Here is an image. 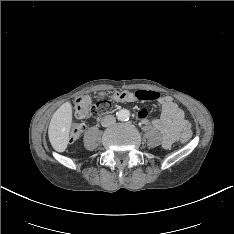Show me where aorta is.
<instances>
[{
    "mask_svg": "<svg viewBox=\"0 0 234 234\" xmlns=\"http://www.w3.org/2000/svg\"><path fill=\"white\" fill-rule=\"evenodd\" d=\"M130 117V112L127 109H121L117 112V118L121 121H126Z\"/></svg>",
    "mask_w": 234,
    "mask_h": 234,
    "instance_id": "1",
    "label": "aorta"
}]
</instances>
